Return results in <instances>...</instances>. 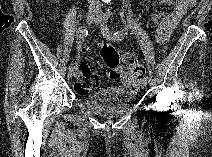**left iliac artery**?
Masks as SVG:
<instances>
[{"label":"left iliac artery","mask_w":212,"mask_h":157,"mask_svg":"<svg viewBox=\"0 0 212 157\" xmlns=\"http://www.w3.org/2000/svg\"><path fill=\"white\" fill-rule=\"evenodd\" d=\"M104 20L105 21L108 20V15L104 16ZM101 30H102L103 36L112 41H120L125 37V32L123 30L111 32L107 26L102 27ZM142 80L145 81L146 83L151 82V78L148 75H144Z\"/></svg>","instance_id":"44dca946"}]
</instances>
